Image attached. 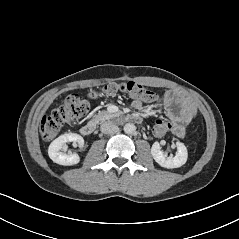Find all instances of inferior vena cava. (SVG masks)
<instances>
[{
  "label": "inferior vena cava",
  "instance_id": "inferior-vena-cava-1",
  "mask_svg": "<svg viewBox=\"0 0 239 239\" xmlns=\"http://www.w3.org/2000/svg\"><path fill=\"white\" fill-rule=\"evenodd\" d=\"M100 130L102 133L111 134L118 131V126L111 121H106L101 124Z\"/></svg>",
  "mask_w": 239,
  "mask_h": 239
}]
</instances>
